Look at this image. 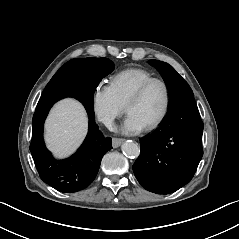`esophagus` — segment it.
Returning a JSON list of instances; mask_svg holds the SVG:
<instances>
[{
    "mask_svg": "<svg viewBox=\"0 0 239 239\" xmlns=\"http://www.w3.org/2000/svg\"><path fill=\"white\" fill-rule=\"evenodd\" d=\"M122 142H124V139H121V138H113L112 139V146L113 148H118Z\"/></svg>",
    "mask_w": 239,
    "mask_h": 239,
    "instance_id": "esophagus-1",
    "label": "esophagus"
}]
</instances>
